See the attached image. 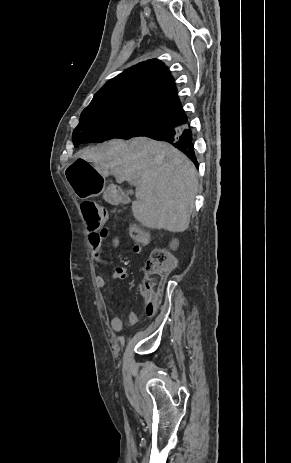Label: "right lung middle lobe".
<instances>
[{
    "label": "right lung middle lobe",
    "mask_w": 291,
    "mask_h": 463,
    "mask_svg": "<svg viewBox=\"0 0 291 463\" xmlns=\"http://www.w3.org/2000/svg\"><path fill=\"white\" fill-rule=\"evenodd\" d=\"M168 126L165 119L139 112L84 109L73 132V143H101L110 139L145 136Z\"/></svg>",
    "instance_id": "obj_1"
}]
</instances>
